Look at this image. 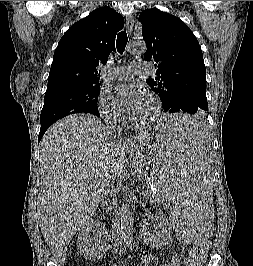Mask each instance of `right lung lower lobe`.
<instances>
[{
  "label": "right lung lower lobe",
  "mask_w": 253,
  "mask_h": 266,
  "mask_svg": "<svg viewBox=\"0 0 253 266\" xmlns=\"http://www.w3.org/2000/svg\"><path fill=\"white\" fill-rule=\"evenodd\" d=\"M99 116V114L97 115ZM49 127H41L40 128V133H39V136H38V142L41 140V138L43 137L44 133L46 132V130L48 129Z\"/></svg>",
  "instance_id": "obj_1"
}]
</instances>
